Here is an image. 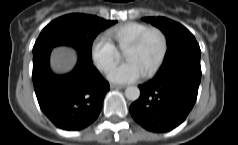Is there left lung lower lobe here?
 Wrapping results in <instances>:
<instances>
[{
    "instance_id": "1",
    "label": "left lung lower lobe",
    "mask_w": 238,
    "mask_h": 145,
    "mask_svg": "<svg viewBox=\"0 0 238 145\" xmlns=\"http://www.w3.org/2000/svg\"><path fill=\"white\" fill-rule=\"evenodd\" d=\"M200 79V58L160 69L152 80L139 86L140 97L129 108L132 117L152 132L176 128L195 104Z\"/></svg>"
}]
</instances>
